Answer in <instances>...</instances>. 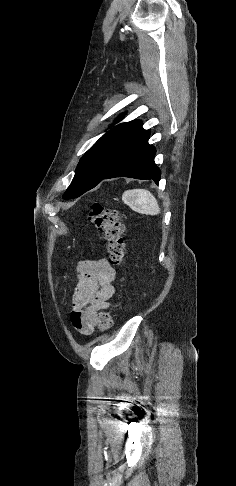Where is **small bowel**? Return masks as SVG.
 Returning a JSON list of instances; mask_svg holds the SVG:
<instances>
[{"label": "small bowel", "instance_id": "c3829d8e", "mask_svg": "<svg viewBox=\"0 0 236 486\" xmlns=\"http://www.w3.org/2000/svg\"><path fill=\"white\" fill-rule=\"evenodd\" d=\"M116 278L106 259L84 261L78 265V282L72 297L70 320L83 335L93 333L98 313L109 308Z\"/></svg>", "mask_w": 236, "mask_h": 486}]
</instances>
